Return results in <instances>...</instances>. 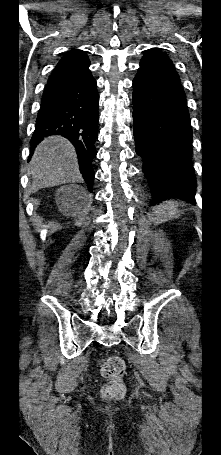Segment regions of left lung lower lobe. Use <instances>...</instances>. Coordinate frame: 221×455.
Here are the masks:
<instances>
[{
  "label": "left lung lower lobe",
  "mask_w": 221,
  "mask_h": 455,
  "mask_svg": "<svg viewBox=\"0 0 221 455\" xmlns=\"http://www.w3.org/2000/svg\"><path fill=\"white\" fill-rule=\"evenodd\" d=\"M140 66L133 80L134 137L152 204L168 198L194 204L192 128L180 79L159 67Z\"/></svg>",
  "instance_id": "left-lung-lower-lobe-1"
}]
</instances>
